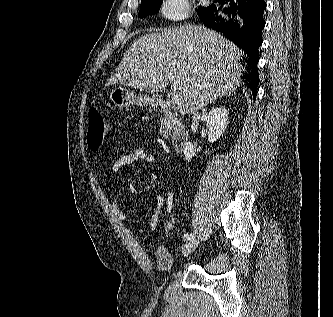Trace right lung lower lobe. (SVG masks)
Listing matches in <instances>:
<instances>
[{
	"mask_svg": "<svg viewBox=\"0 0 333 317\" xmlns=\"http://www.w3.org/2000/svg\"><path fill=\"white\" fill-rule=\"evenodd\" d=\"M227 1L229 8L222 10L226 16L218 15L220 9L210 5L199 13L200 19L205 26L220 32L247 53L248 58L245 59L247 71L242 78L255 99L259 84L258 49L262 44V30L265 26L263 14L266 3L264 0Z\"/></svg>",
	"mask_w": 333,
	"mask_h": 317,
	"instance_id": "1",
	"label": "right lung lower lobe"
}]
</instances>
